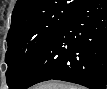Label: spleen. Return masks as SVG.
Returning a JSON list of instances; mask_svg holds the SVG:
<instances>
[{
  "label": "spleen",
  "instance_id": "1",
  "mask_svg": "<svg viewBox=\"0 0 107 89\" xmlns=\"http://www.w3.org/2000/svg\"><path fill=\"white\" fill-rule=\"evenodd\" d=\"M58 89H82V88L76 85L61 84L59 85Z\"/></svg>",
  "mask_w": 107,
  "mask_h": 89
}]
</instances>
